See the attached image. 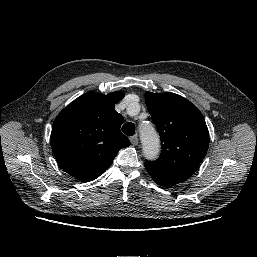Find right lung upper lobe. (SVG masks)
I'll use <instances>...</instances> for the list:
<instances>
[{"label": "right lung upper lobe", "instance_id": "cb5924a9", "mask_svg": "<svg viewBox=\"0 0 257 257\" xmlns=\"http://www.w3.org/2000/svg\"><path fill=\"white\" fill-rule=\"evenodd\" d=\"M122 92L107 95L86 93L65 107L56 117L51 146L61 168L81 181H92L112 164L130 141L120 131L123 116L114 105Z\"/></svg>", "mask_w": 257, "mask_h": 257}]
</instances>
